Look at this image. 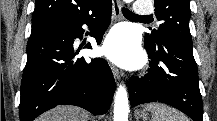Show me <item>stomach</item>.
Listing matches in <instances>:
<instances>
[{
	"label": "stomach",
	"mask_w": 217,
	"mask_h": 121,
	"mask_svg": "<svg viewBox=\"0 0 217 121\" xmlns=\"http://www.w3.org/2000/svg\"><path fill=\"white\" fill-rule=\"evenodd\" d=\"M138 116L143 119V121L148 120V113L145 110H141L138 112Z\"/></svg>",
	"instance_id": "0dacf381"
}]
</instances>
